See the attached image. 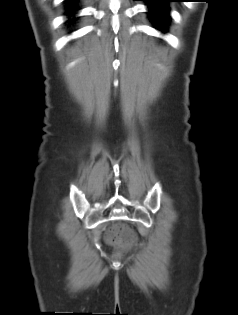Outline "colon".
<instances>
[{
  "label": "colon",
  "mask_w": 238,
  "mask_h": 315,
  "mask_svg": "<svg viewBox=\"0 0 238 315\" xmlns=\"http://www.w3.org/2000/svg\"><path fill=\"white\" fill-rule=\"evenodd\" d=\"M109 239L112 241H119L126 245H130L135 242L134 234L123 225L114 226L109 235Z\"/></svg>",
  "instance_id": "colon-1"
}]
</instances>
